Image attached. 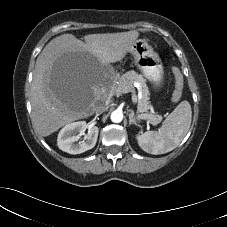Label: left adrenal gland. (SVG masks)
Instances as JSON below:
<instances>
[{"instance_id":"a2214340","label":"left adrenal gland","mask_w":227,"mask_h":227,"mask_svg":"<svg viewBox=\"0 0 227 227\" xmlns=\"http://www.w3.org/2000/svg\"><path fill=\"white\" fill-rule=\"evenodd\" d=\"M132 124L139 126L138 122L135 119L134 112H131L129 114V125H132Z\"/></svg>"}]
</instances>
